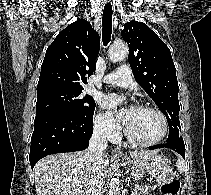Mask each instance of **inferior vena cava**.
Here are the masks:
<instances>
[{
  "label": "inferior vena cava",
  "instance_id": "obj_1",
  "mask_svg": "<svg viewBox=\"0 0 211 195\" xmlns=\"http://www.w3.org/2000/svg\"><path fill=\"white\" fill-rule=\"evenodd\" d=\"M112 129V123L106 121L94 127L93 135L85 158L91 164V175L88 181L86 195H102L103 189V152L107 148V135Z\"/></svg>",
  "mask_w": 211,
  "mask_h": 195
}]
</instances>
